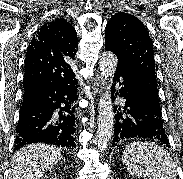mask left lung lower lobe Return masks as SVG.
I'll return each mask as SVG.
<instances>
[{
	"instance_id": "1",
	"label": "left lung lower lobe",
	"mask_w": 183,
	"mask_h": 179,
	"mask_svg": "<svg viewBox=\"0 0 183 179\" xmlns=\"http://www.w3.org/2000/svg\"><path fill=\"white\" fill-rule=\"evenodd\" d=\"M114 79L122 85L120 95L126 99V117L116 114L112 145L126 138H147L169 146L161 111L149 102L139 82L120 67L116 69Z\"/></svg>"
}]
</instances>
